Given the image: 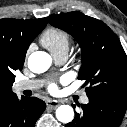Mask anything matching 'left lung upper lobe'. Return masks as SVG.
<instances>
[{
  "mask_svg": "<svg viewBox=\"0 0 127 127\" xmlns=\"http://www.w3.org/2000/svg\"><path fill=\"white\" fill-rule=\"evenodd\" d=\"M49 23L78 41L82 51L78 79L88 85V97L108 95L127 99V56L105 23L78 11L51 16Z\"/></svg>",
  "mask_w": 127,
  "mask_h": 127,
  "instance_id": "1",
  "label": "left lung upper lobe"
}]
</instances>
